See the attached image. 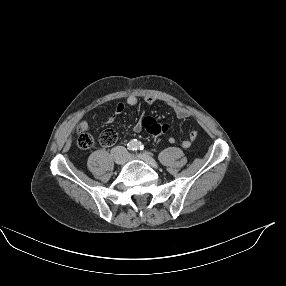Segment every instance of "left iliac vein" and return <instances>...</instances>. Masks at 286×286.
Here are the masks:
<instances>
[{
	"label": "left iliac vein",
	"instance_id": "left-iliac-vein-1",
	"mask_svg": "<svg viewBox=\"0 0 286 286\" xmlns=\"http://www.w3.org/2000/svg\"><path fill=\"white\" fill-rule=\"evenodd\" d=\"M132 158L141 159V160L145 161L149 166H151L154 169L158 168V164L150 156H148L146 154H140L137 156H132Z\"/></svg>",
	"mask_w": 286,
	"mask_h": 286
}]
</instances>
